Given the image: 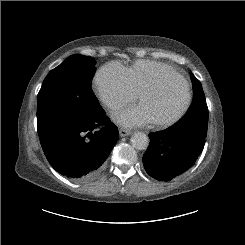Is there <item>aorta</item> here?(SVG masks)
I'll return each mask as SVG.
<instances>
[{
    "label": "aorta",
    "mask_w": 245,
    "mask_h": 245,
    "mask_svg": "<svg viewBox=\"0 0 245 245\" xmlns=\"http://www.w3.org/2000/svg\"><path fill=\"white\" fill-rule=\"evenodd\" d=\"M131 144L135 149L145 150L149 145V138L143 132H136L131 137Z\"/></svg>",
    "instance_id": "1"
}]
</instances>
